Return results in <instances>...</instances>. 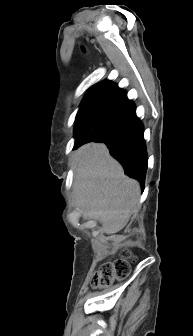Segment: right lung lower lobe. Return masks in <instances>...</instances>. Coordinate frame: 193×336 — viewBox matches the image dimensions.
I'll use <instances>...</instances> for the list:
<instances>
[{"label": "right lung lower lobe", "instance_id": "1", "mask_svg": "<svg viewBox=\"0 0 193 336\" xmlns=\"http://www.w3.org/2000/svg\"><path fill=\"white\" fill-rule=\"evenodd\" d=\"M90 141L104 142L125 173L137 179L143 188L147 170L143 125L136 117L135 105L126 95L114 108L103 130L93 139L75 143L74 149Z\"/></svg>", "mask_w": 193, "mask_h": 336}]
</instances>
